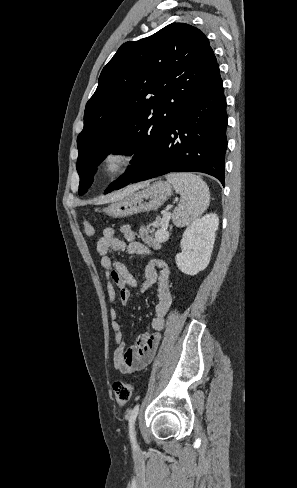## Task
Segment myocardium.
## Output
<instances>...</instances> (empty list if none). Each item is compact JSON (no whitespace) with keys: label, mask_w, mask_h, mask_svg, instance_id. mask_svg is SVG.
<instances>
[{"label":"myocardium","mask_w":297,"mask_h":488,"mask_svg":"<svg viewBox=\"0 0 297 488\" xmlns=\"http://www.w3.org/2000/svg\"><path fill=\"white\" fill-rule=\"evenodd\" d=\"M113 156H120L122 162L116 170L110 171L107 165L109 159ZM139 158L140 151L138 147L129 142L117 143L106 149L102 154L100 169L106 177L116 178L130 171L137 164Z\"/></svg>","instance_id":"1"}]
</instances>
